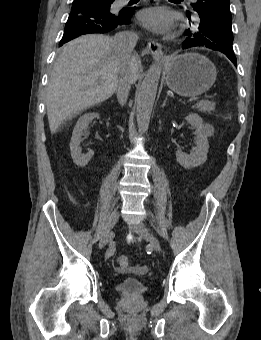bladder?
Instances as JSON below:
<instances>
[{"label":"bladder","mask_w":261,"mask_h":340,"mask_svg":"<svg viewBox=\"0 0 261 340\" xmlns=\"http://www.w3.org/2000/svg\"><path fill=\"white\" fill-rule=\"evenodd\" d=\"M116 289L123 296L137 297L145 292L146 283L142 279L132 276H126L120 279L116 286Z\"/></svg>","instance_id":"obj_1"}]
</instances>
